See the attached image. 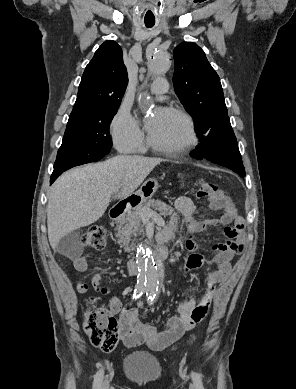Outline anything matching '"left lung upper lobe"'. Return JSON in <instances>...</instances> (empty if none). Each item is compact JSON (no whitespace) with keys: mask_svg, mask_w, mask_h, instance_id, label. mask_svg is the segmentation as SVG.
I'll return each instance as SVG.
<instances>
[{"mask_svg":"<svg viewBox=\"0 0 296 389\" xmlns=\"http://www.w3.org/2000/svg\"><path fill=\"white\" fill-rule=\"evenodd\" d=\"M173 56L175 92L202 139L214 125L229 118L219 76L204 51L193 42L180 43Z\"/></svg>","mask_w":296,"mask_h":389,"instance_id":"5c2ea615","label":"left lung upper lobe"}]
</instances>
